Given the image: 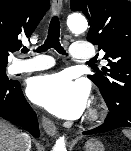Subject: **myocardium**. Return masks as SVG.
I'll use <instances>...</instances> for the list:
<instances>
[{"label":"myocardium","instance_id":"1","mask_svg":"<svg viewBox=\"0 0 131 151\" xmlns=\"http://www.w3.org/2000/svg\"><path fill=\"white\" fill-rule=\"evenodd\" d=\"M100 117V111L97 107H92L88 112V120L96 121Z\"/></svg>","mask_w":131,"mask_h":151}]
</instances>
